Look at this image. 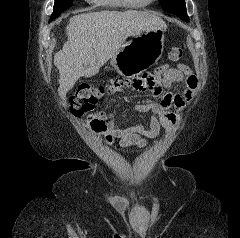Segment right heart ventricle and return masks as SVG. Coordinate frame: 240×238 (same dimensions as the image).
<instances>
[{
    "instance_id": "e07e8e85",
    "label": "right heart ventricle",
    "mask_w": 240,
    "mask_h": 238,
    "mask_svg": "<svg viewBox=\"0 0 240 238\" xmlns=\"http://www.w3.org/2000/svg\"><path fill=\"white\" fill-rule=\"evenodd\" d=\"M94 3L112 9H119L126 7L121 0H93ZM141 7V6H136Z\"/></svg>"
}]
</instances>
